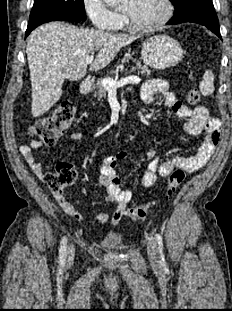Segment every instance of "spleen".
Wrapping results in <instances>:
<instances>
[{
  "label": "spleen",
  "instance_id": "1",
  "mask_svg": "<svg viewBox=\"0 0 232 311\" xmlns=\"http://www.w3.org/2000/svg\"><path fill=\"white\" fill-rule=\"evenodd\" d=\"M199 89L205 96L211 95L214 92V75L211 70L205 71L203 80L199 84Z\"/></svg>",
  "mask_w": 232,
  "mask_h": 311
}]
</instances>
